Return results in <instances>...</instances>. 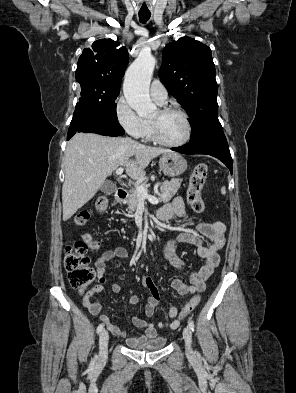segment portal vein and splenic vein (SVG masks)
I'll return each mask as SVG.
<instances>
[{"instance_id": "18ae733b", "label": "portal vein and splenic vein", "mask_w": 296, "mask_h": 393, "mask_svg": "<svg viewBox=\"0 0 296 393\" xmlns=\"http://www.w3.org/2000/svg\"><path fill=\"white\" fill-rule=\"evenodd\" d=\"M123 171H124V169L122 167H119L116 170V175L121 176ZM136 190H137L138 196L140 198L147 199L150 202H157L158 201L156 197L148 194L147 189L143 185H137Z\"/></svg>"}]
</instances>
